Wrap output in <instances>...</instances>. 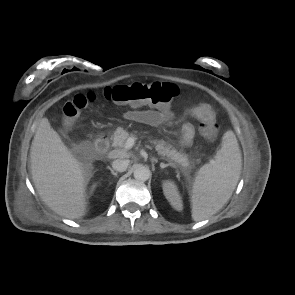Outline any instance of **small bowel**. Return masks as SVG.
<instances>
[{
	"mask_svg": "<svg viewBox=\"0 0 295 295\" xmlns=\"http://www.w3.org/2000/svg\"><path fill=\"white\" fill-rule=\"evenodd\" d=\"M190 115L197 120L203 122L208 119L215 118L216 113L212 105L208 103H200L190 110ZM127 120L143 123L151 126H158L170 121L173 118V112L169 108L163 109H148L128 110L123 114ZM195 135L194 125L186 122L181 129L179 143L181 146L188 147L192 144Z\"/></svg>",
	"mask_w": 295,
	"mask_h": 295,
	"instance_id": "obj_1",
	"label": "small bowel"
}]
</instances>
